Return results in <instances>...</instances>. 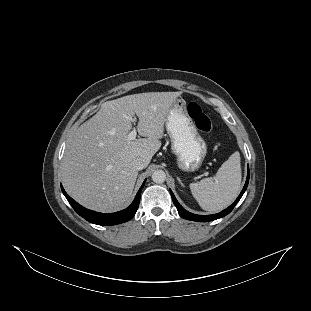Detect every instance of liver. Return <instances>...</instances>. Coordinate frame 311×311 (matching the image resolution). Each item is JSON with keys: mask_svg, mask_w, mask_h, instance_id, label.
Returning <instances> with one entry per match:
<instances>
[{"mask_svg": "<svg viewBox=\"0 0 311 311\" xmlns=\"http://www.w3.org/2000/svg\"><path fill=\"white\" fill-rule=\"evenodd\" d=\"M181 94L144 92L104 102L67 145L61 167L67 193L97 212L124 209L138 176L132 162L141 158L149 165L161 147L169 109ZM135 115L144 138L128 141Z\"/></svg>", "mask_w": 311, "mask_h": 311, "instance_id": "1", "label": "liver"}]
</instances>
